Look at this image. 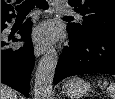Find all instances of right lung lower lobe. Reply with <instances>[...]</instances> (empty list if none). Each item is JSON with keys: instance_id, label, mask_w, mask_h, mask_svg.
<instances>
[{"instance_id": "right-lung-lower-lobe-1", "label": "right lung lower lobe", "mask_w": 115, "mask_h": 99, "mask_svg": "<svg viewBox=\"0 0 115 99\" xmlns=\"http://www.w3.org/2000/svg\"><path fill=\"white\" fill-rule=\"evenodd\" d=\"M11 18L1 22V33L7 27ZM32 22L30 19L23 24L19 34L25 40L24 47L18 50L7 47L10 38L1 37V83L29 96L30 74L34 66V51L30 40ZM12 41H19L12 38Z\"/></svg>"}]
</instances>
